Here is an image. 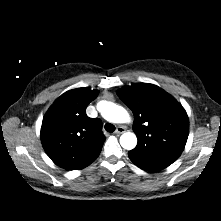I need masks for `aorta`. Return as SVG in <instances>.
Returning a JSON list of instances; mask_svg holds the SVG:
<instances>
[{
  "label": "aorta",
  "instance_id": "obj_1",
  "mask_svg": "<svg viewBox=\"0 0 221 221\" xmlns=\"http://www.w3.org/2000/svg\"><path fill=\"white\" fill-rule=\"evenodd\" d=\"M102 117L112 123H125L130 116L125 108L113 102L101 101L98 104ZM120 144L126 150H132L137 145V137L132 132L123 133L120 137Z\"/></svg>",
  "mask_w": 221,
  "mask_h": 221
}]
</instances>
